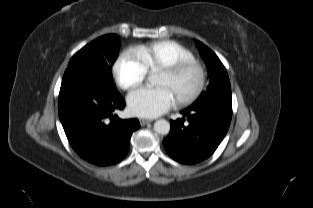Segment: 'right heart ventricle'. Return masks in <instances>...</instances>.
<instances>
[{"label":"right heart ventricle","mask_w":313,"mask_h":208,"mask_svg":"<svg viewBox=\"0 0 313 208\" xmlns=\"http://www.w3.org/2000/svg\"><path fill=\"white\" fill-rule=\"evenodd\" d=\"M148 71L160 70L179 61L194 59L193 53L173 40H161L134 49Z\"/></svg>","instance_id":"e07e8e85"}]
</instances>
